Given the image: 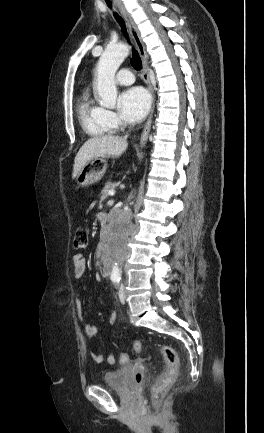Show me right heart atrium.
Instances as JSON below:
<instances>
[{"mask_svg": "<svg viewBox=\"0 0 264 433\" xmlns=\"http://www.w3.org/2000/svg\"><path fill=\"white\" fill-rule=\"evenodd\" d=\"M106 117L113 127H118L120 125V120L114 112L106 110Z\"/></svg>", "mask_w": 264, "mask_h": 433, "instance_id": "right-heart-atrium-1", "label": "right heart atrium"}]
</instances>
